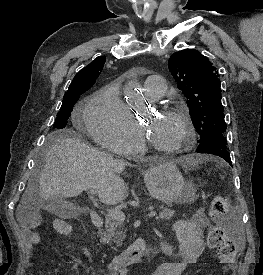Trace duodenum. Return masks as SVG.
<instances>
[{"instance_id": "410a0bca", "label": "duodenum", "mask_w": 263, "mask_h": 275, "mask_svg": "<svg viewBox=\"0 0 263 275\" xmlns=\"http://www.w3.org/2000/svg\"><path fill=\"white\" fill-rule=\"evenodd\" d=\"M91 221L96 227H101L103 224L102 217L96 212L91 213ZM147 254L148 249L146 243L142 238H139L125 251L112 259V267L124 272L128 266L139 263Z\"/></svg>"}]
</instances>
